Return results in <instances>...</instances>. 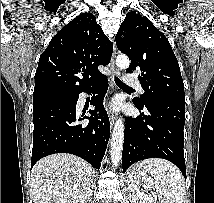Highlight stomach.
Segmentation results:
<instances>
[{
    "instance_id": "0dacf381",
    "label": "stomach",
    "mask_w": 214,
    "mask_h": 203,
    "mask_svg": "<svg viewBox=\"0 0 214 203\" xmlns=\"http://www.w3.org/2000/svg\"><path fill=\"white\" fill-rule=\"evenodd\" d=\"M128 183L133 190L149 192L156 186L153 176L143 167L136 164L128 172Z\"/></svg>"
}]
</instances>
